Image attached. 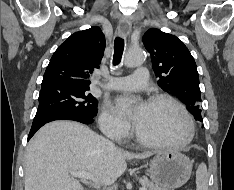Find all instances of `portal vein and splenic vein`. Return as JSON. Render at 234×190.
Instances as JSON below:
<instances>
[{
    "label": "portal vein and splenic vein",
    "mask_w": 234,
    "mask_h": 190,
    "mask_svg": "<svg viewBox=\"0 0 234 190\" xmlns=\"http://www.w3.org/2000/svg\"><path fill=\"white\" fill-rule=\"evenodd\" d=\"M70 174L74 177H78L82 180H91V181H95V179L92 177V175L88 172H84V171H70ZM139 190H147V188L145 186L140 187Z\"/></svg>",
    "instance_id": "portal-vein-and-splenic-vein-1"
}]
</instances>
